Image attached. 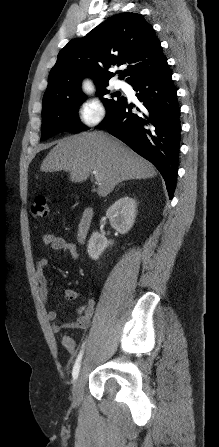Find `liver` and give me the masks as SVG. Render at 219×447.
I'll use <instances>...</instances> for the list:
<instances>
[{"label": "liver", "mask_w": 219, "mask_h": 447, "mask_svg": "<svg viewBox=\"0 0 219 447\" xmlns=\"http://www.w3.org/2000/svg\"><path fill=\"white\" fill-rule=\"evenodd\" d=\"M42 172L68 171L70 181L81 183L95 171L97 193L110 194L125 180L157 175L155 167L119 140L102 131L85 132L57 141L41 164Z\"/></svg>", "instance_id": "liver-1"}]
</instances>
